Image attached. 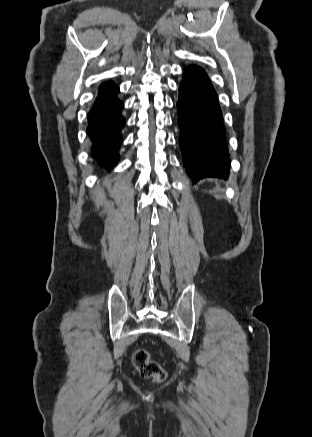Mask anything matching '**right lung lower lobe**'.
Wrapping results in <instances>:
<instances>
[{"mask_svg": "<svg viewBox=\"0 0 312 437\" xmlns=\"http://www.w3.org/2000/svg\"><path fill=\"white\" fill-rule=\"evenodd\" d=\"M118 86L108 81L99 87L98 96L88 114L87 133L93 142V156L104 167L113 168L122 142L120 131L125 124L123 103L117 98Z\"/></svg>", "mask_w": 312, "mask_h": 437, "instance_id": "right-lung-lower-lobe-1", "label": "right lung lower lobe"}]
</instances>
